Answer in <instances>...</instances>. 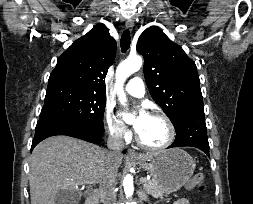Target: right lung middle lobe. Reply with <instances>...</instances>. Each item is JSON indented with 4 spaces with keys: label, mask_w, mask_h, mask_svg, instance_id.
Here are the masks:
<instances>
[{
    "label": "right lung middle lobe",
    "mask_w": 253,
    "mask_h": 204,
    "mask_svg": "<svg viewBox=\"0 0 253 204\" xmlns=\"http://www.w3.org/2000/svg\"><path fill=\"white\" fill-rule=\"evenodd\" d=\"M105 98L70 85H50L40 119H55L104 129Z\"/></svg>",
    "instance_id": "obj_1"
}]
</instances>
